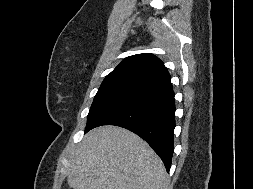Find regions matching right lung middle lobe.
<instances>
[{"instance_id": "1", "label": "right lung middle lobe", "mask_w": 253, "mask_h": 189, "mask_svg": "<svg viewBox=\"0 0 253 189\" xmlns=\"http://www.w3.org/2000/svg\"><path fill=\"white\" fill-rule=\"evenodd\" d=\"M148 92L129 87L100 88L87 116L86 129L96 125L114 111L142 98Z\"/></svg>"}]
</instances>
